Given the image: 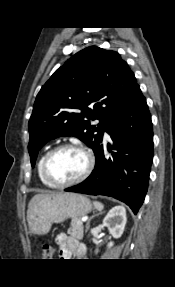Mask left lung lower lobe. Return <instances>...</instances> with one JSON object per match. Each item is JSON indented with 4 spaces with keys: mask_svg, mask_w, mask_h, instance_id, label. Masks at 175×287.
<instances>
[{
    "mask_svg": "<svg viewBox=\"0 0 175 287\" xmlns=\"http://www.w3.org/2000/svg\"><path fill=\"white\" fill-rule=\"evenodd\" d=\"M106 132L112 142L104 146L102 137L91 175L65 191L111 196L136 214L148 189L153 161L151 115L139 85L128 105L111 119Z\"/></svg>",
    "mask_w": 175,
    "mask_h": 287,
    "instance_id": "1",
    "label": "left lung lower lobe"
}]
</instances>
